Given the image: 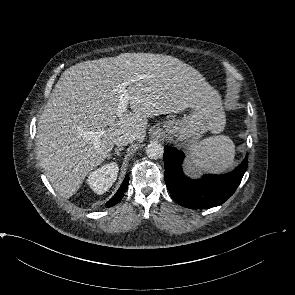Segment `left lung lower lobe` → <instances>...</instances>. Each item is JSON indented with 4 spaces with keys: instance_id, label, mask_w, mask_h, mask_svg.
Returning <instances> with one entry per match:
<instances>
[{
    "instance_id": "left-lung-lower-lobe-1",
    "label": "left lung lower lobe",
    "mask_w": 295,
    "mask_h": 295,
    "mask_svg": "<svg viewBox=\"0 0 295 295\" xmlns=\"http://www.w3.org/2000/svg\"><path fill=\"white\" fill-rule=\"evenodd\" d=\"M165 183L172 198L181 206L207 209L224 203L237 189L247 169L248 156L232 172L225 175H204L191 180L183 174L181 163L184 154L165 146Z\"/></svg>"
}]
</instances>
